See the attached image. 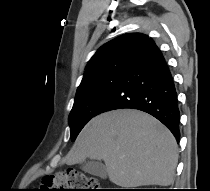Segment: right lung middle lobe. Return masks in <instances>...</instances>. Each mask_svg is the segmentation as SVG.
I'll return each mask as SVG.
<instances>
[{
    "mask_svg": "<svg viewBox=\"0 0 210 191\" xmlns=\"http://www.w3.org/2000/svg\"><path fill=\"white\" fill-rule=\"evenodd\" d=\"M130 59L120 57L105 63L92 71L79 85L69 115L73 141L86 123L97 115L100 105L118 82Z\"/></svg>",
    "mask_w": 210,
    "mask_h": 191,
    "instance_id": "right-lung-middle-lobe-1",
    "label": "right lung middle lobe"
}]
</instances>
